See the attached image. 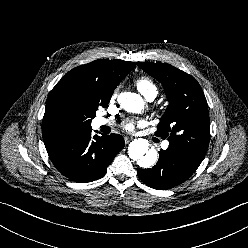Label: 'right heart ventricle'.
Masks as SVG:
<instances>
[{
	"mask_svg": "<svg viewBox=\"0 0 248 248\" xmlns=\"http://www.w3.org/2000/svg\"><path fill=\"white\" fill-rule=\"evenodd\" d=\"M135 86L137 90L145 97L151 93H157V87L153 81L147 77H140L136 79Z\"/></svg>",
	"mask_w": 248,
	"mask_h": 248,
	"instance_id": "e07e8e85",
	"label": "right heart ventricle"
}]
</instances>
